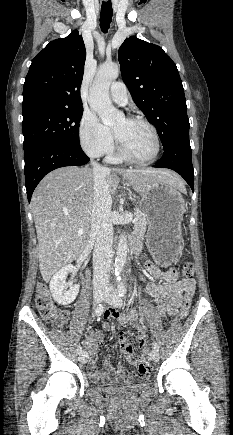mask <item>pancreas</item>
<instances>
[{"label": "pancreas", "instance_id": "1", "mask_svg": "<svg viewBox=\"0 0 233 435\" xmlns=\"http://www.w3.org/2000/svg\"><path fill=\"white\" fill-rule=\"evenodd\" d=\"M134 217L138 218V221L134 224L133 227L134 233L138 238H143L147 227L146 217L144 213L139 209L134 212Z\"/></svg>", "mask_w": 233, "mask_h": 435}]
</instances>
